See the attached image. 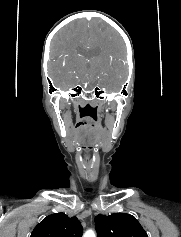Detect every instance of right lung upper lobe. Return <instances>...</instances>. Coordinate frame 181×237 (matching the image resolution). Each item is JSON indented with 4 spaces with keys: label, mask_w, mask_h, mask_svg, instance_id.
<instances>
[{
    "label": "right lung upper lobe",
    "mask_w": 181,
    "mask_h": 237,
    "mask_svg": "<svg viewBox=\"0 0 181 237\" xmlns=\"http://www.w3.org/2000/svg\"><path fill=\"white\" fill-rule=\"evenodd\" d=\"M82 231L77 217L70 218L64 213H55L39 223L30 237H81Z\"/></svg>",
    "instance_id": "1"
}]
</instances>
